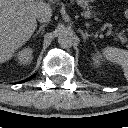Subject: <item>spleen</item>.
<instances>
[{"mask_svg": "<svg viewBox=\"0 0 128 128\" xmlns=\"http://www.w3.org/2000/svg\"><path fill=\"white\" fill-rule=\"evenodd\" d=\"M103 57L113 63H118L122 66L124 76L128 80V51L114 47H106L102 51Z\"/></svg>", "mask_w": 128, "mask_h": 128, "instance_id": "1", "label": "spleen"}]
</instances>
